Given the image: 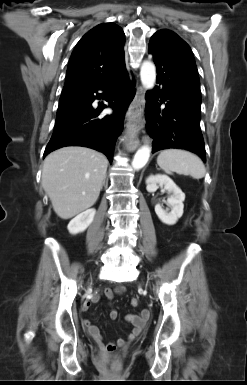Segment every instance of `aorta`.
<instances>
[{
  "label": "aorta",
  "instance_id": "obj_1",
  "mask_svg": "<svg viewBox=\"0 0 247 385\" xmlns=\"http://www.w3.org/2000/svg\"><path fill=\"white\" fill-rule=\"evenodd\" d=\"M140 78L142 85L146 89H152L156 81V68L155 65L150 61H144L140 70ZM151 149L149 146H142L136 152L133 161L132 167L136 170L141 169L146 165L149 160Z\"/></svg>",
  "mask_w": 247,
  "mask_h": 385
}]
</instances>
